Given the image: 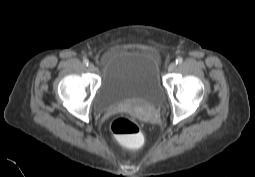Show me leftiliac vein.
<instances>
[{
    "instance_id": "left-iliac-vein-1",
    "label": "left iliac vein",
    "mask_w": 255,
    "mask_h": 177,
    "mask_svg": "<svg viewBox=\"0 0 255 177\" xmlns=\"http://www.w3.org/2000/svg\"><path fill=\"white\" fill-rule=\"evenodd\" d=\"M176 64L175 63H171V64H169V66H168V71L169 72H172V71H174L175 70V68H176Z\"/></svg>"
}]
</instances>
